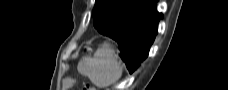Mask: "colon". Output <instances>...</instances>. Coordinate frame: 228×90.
<instances>
[{
    "label": "colon",
    "mask_w": 228,
    "mask_h": 90,
    "mask_svg": "<svg viewBox=\"0 0 228 90\" xmlns=\"http://www.w3.org/2000/svg\"><path fill=\"white\" fill-rule=\"evenodd\" d=\"M86 90H93V88H91L90 86H87Z\"/></svg>",
    "instance_id": "colon-1"
}]
</instances>
